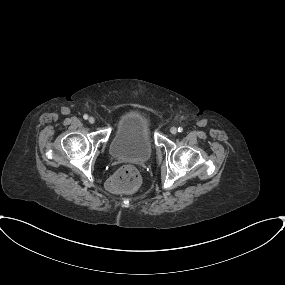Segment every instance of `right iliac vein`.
I'll return each instance as SVG.
<instances>
[{"label":"right iliac vein","instance_id":"right-iliac-vein-1","mask_svg":"<svg viewBox=\"0 0 285 285\" xmlns=\"http://www.w3.org/2000/svg\"><path fill=\"white\" fill-rule=\"evenodd\" d=\"M88 121H89L90 124H94L95 123L94 117H90Z\"/></svg>","mask_w":285,"mask_h":285}]
</instances>
